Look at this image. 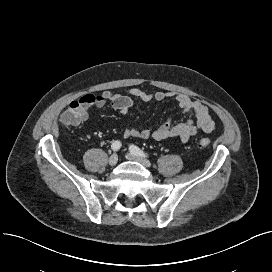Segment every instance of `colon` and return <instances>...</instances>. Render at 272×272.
I'll return each instance as SVG.
<instances>
[{
    "label": "colon",
    "instance_id": "1",
    "mask_svg": "<svg viewBox=\"0 0 272 272\" xmlns=\"http://www.w3.org/2000/svg\"><path fill=\"white\" fill-rule=\"evenodd\" d=\"M209 144H210V142H209V140L206 139V138H202V139H200L199 142H198V145H199L200 148H206V147L209 146Z\"/></svg>",
    "mask_w": 272,
    "mask_h": 272
}]
</instances>
